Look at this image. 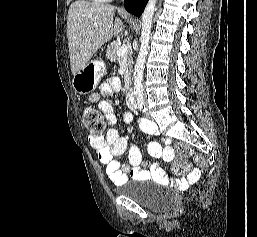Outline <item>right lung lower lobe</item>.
Masks as SVG:
<instances>
[{
  "label": "right lung lower lobe",
  "instance_id": "obj_1",
  "mask_svg": "<svg viewBox=\"0 0 257 237\" xmlns=\"http://www.w3.org/2000/svg\"><path fill=\"white\" fill-rule=\"evenodd\" d=\"M148 0H125L124 6L128 12L140 17Z\"/></svg>",
  "mask_w": 257,
  "mask_h": 237
}]
</instances>
